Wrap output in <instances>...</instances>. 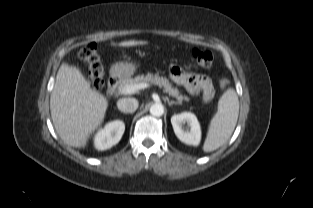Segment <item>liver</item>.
I'll return each instance as SVG.
<instances>
[{"label": "liver", "instance_id": "liver-1", "mask_svg": "<svg viewBox=\"0 0 313 208\" xmlns=\"http://www.w3.org/2000/svg\"><path fill=\"white\" fill-rule=\"evenodd\" d=\"M145 44L146 41L129 40L112 45ZM107 107L106 98L91 89L79 69L65 63L60 66L50 96V111L56 132L67 145L85 147L89 136L102 124Z\"/></svg>", "mask_w": 313, "mask_h": 208}]
</instances>
